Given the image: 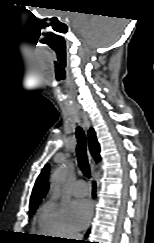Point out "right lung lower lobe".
<instances>
[{
	"instance_id": "right-lung-lower-lobe-1",
	"label": "right lung lower lobe",
	"mask_w": 154,
	"mask_h": 243,
	"mask_svg": "<svg viewBox=\"0 0 154 243\" xmlns=\"http://www.w3.org/2000/svg\"><path fill=\"white\" fill-rule=\"evenodd\" d=\"M95 190H96V184L94 183V185H93V197H95ZM81 243H84V241H81Z\"/></svg>"
}]
</instances>
